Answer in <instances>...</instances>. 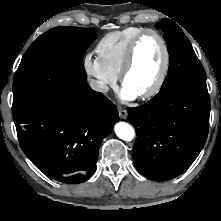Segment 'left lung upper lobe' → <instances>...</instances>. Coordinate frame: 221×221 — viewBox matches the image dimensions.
I'll return each instance as SVG.
<instances>
[{
    "label": "left lung upper lobe",
    "instance_id": "obj_1",
    "mask_svg": "<svg viewBox=\"0 0 221 221\" xmlns=\"http://www.w3.org/2000/svg\"><path fill=\"white\" fill-rule=\"evenodd\" d=\"M156 27L164 31L170 55L168 74L161 88L174 83L207 87L203 66L180 27L170 19L157 23Z\"/></svg>",
    "mask_w": 221,
    "mask_h": 221
}]
</instances>
